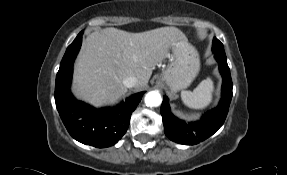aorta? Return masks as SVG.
I'll use <instances>...</instances> for the list:
<instances>
[{"label":"aorta","instance_id":"obj_1","mask_svg":"<svg viewBox=\"0 0 287 175\" xmlns=\"http://www.w3.org/2000/svg\"><path fill=\"white\" fill-rule=\"evenodd\" d=\"M146 106L158 107L162 103V97L157 91H150L146 94L144 98Z\"/></svg>","mask_w":287,"mask_h":175}]
</instances>
